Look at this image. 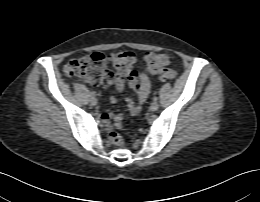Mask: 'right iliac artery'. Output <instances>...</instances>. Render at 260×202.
<instances>
[{
  "label": "right iliac artery",
  "mask_w": 260,
  "mask_h": 202,
  "mask_svg": "<svg viewBox=\"0 0 260 202\" xmlns=\"http://www.w3.org/2000/svg\"><path fill=\"white\" fill-rule=\"evenodd\" d=\"M90 95L94 97L96 95V93L94 91H92V92H90Z\"/></svg>",
  "instance_id": "right-iliac-artery-1"
}]
</instances>
